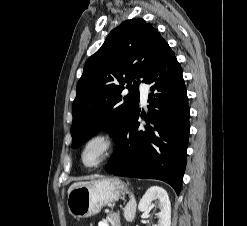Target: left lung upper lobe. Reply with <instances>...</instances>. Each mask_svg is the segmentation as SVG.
<instances>
[{"mask_svg":"<svg viewBox=\"0 0 247 226\" xmlns=\"http://www.w3.org/2000/svg\"><path fill=\"white\" fill-rule=\"evenodd\" d=\"M167 42L144 19L124 21L113 29L92 55L77 83L71 126L77 148L101 129L116 140L121 128L138 109L139 82H143ZM130 93L122 96L124 84Z\"/></svg>","mask_w":247,"mask_h":226,"instance_id":"left-lung-upper-lobe-1","label":"left lung upper lobe"}]
</instances>
